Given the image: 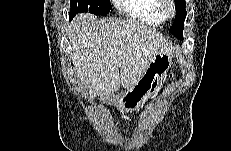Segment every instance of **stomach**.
I'll use <instances>...</instances> for the list:
<instances>
[{
    "label": "stomach",
    "instance_id": "obj_1",
    "mask_svg": "<svg viewBox=\"0 0 231 151\" xmlns=\"http://www.w3.org/2000/svg\"><path fill=\"white\" fill-rule=\"evenodd\" d=\"M172 64L171 55L166 53L156 54L138 82L131 89L114 97L113 102L122 112L138 110L158 90Z\"/></svg>",
    "mask_w": 231,
    "mask_h": 151
}]
</instances>
